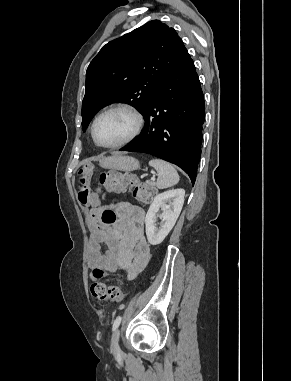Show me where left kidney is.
<instances>
[{
  "instance_id": "1",
  "label": "left kidney",
  "mask_w": 291,
  "mask_h": 381,
  "mask_svg": "<svg viewBox=\"0 0 291 381\" xmlns=\"http://www.w3.org/2000/svg\"><path fill=\"white\" fill-rule=\"evenodd\" d=\"M184 189H172L158 194L146 214V235L151 245L160 244L174 227L184 204ZM162 210L161 223L156 227V214Z\"/></svg>"
}]
</instances>
